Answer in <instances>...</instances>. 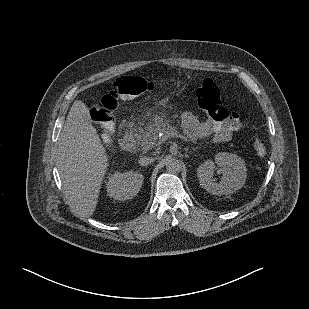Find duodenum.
Listing matches in <instances>:
<instances>
[{
  "instance_id": "duodenum-1",
  "label": "duodenum",
  "mask_w": 309,
  "mask_h": 309,
  "mask_svg": "<svg viewBox=\"0 0 309 309\" xmlns=\"http://www.w3.org/2000/svg\"><path fill=\"white\" fill-rule=\"evenodd\" d=\"M136 132L134 130H128L120 138V147L124 151H131L136 144Z\"/></svg>"
}]
</instances>
